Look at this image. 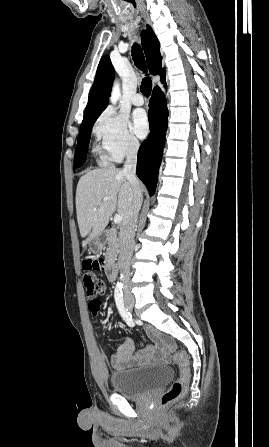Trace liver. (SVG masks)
I'll list each match as a JSON object with an SVG mask.
<instances>
[{
	"mask_svg": "<svg viewBox=\"0 0 269 447\" xmlns=\"http://www.w3.org/2000/svg\"><path fill=\"white\" fill-rule=\"evenodd\" d=\"M142 192V186L139 182ZM133 188L122 174V170L116 168H102V170H90L85 176H81L76 190V214L80 233L86 237L82 241V247L102 235L109 218L118 212L119 216H127L133 202ZM103 198H108L104 202ZM96 208V210H93Z\"/></svg>",
	"mask_w": 269,
	"mask_h": 447,
	"instance_id": "obj_1",
	"label": "liver"
}]
</instances>
